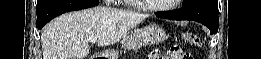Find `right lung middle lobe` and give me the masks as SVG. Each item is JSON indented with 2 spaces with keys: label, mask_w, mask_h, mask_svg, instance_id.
I'll return each instance as SVG.
<instances>
[{
  "label": "right lung middle lobe",
  "mask_w": 261,
  "mask_h": 59,
  "mask_svg": "<svg viewBox=\"0 0 261 59\" xmlns=\"http://www.w3.org/2000/svg\"><path fill=\"white\" fill-rule=\"evenodd\" d=\"M52 0H38L36 10H39L41 7H43L45 4L51 2Z\"/></svg>",
  "instance_id": "1"
}]
</instances>
